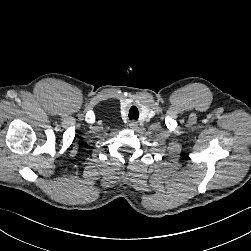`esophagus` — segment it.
<instances>
[{
	"mask_svg": "<svg viewBox=\"0 0 251 251\" xmlns=\"http://www.w3.org/2000/svg\"><path fill=\"white\" fill-rule=\"evenodd\" d=\"M136 126H137V123L134 122V121L130 124V127H131V128L136 127Z\"/></svg>",
	"mask_w": 251,
	"mask_h": 251,
	"instance_id": "obj_1",
	"label": "esophagus"
}]
</instances>
